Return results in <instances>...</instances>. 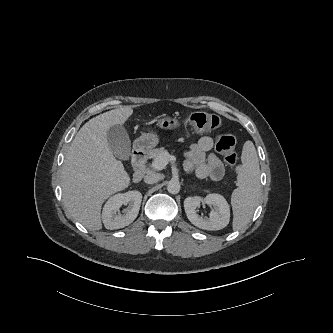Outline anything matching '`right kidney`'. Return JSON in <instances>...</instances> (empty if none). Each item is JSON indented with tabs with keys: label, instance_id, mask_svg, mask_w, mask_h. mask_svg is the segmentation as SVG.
<instances>
[{
	"label": "right kidney",
	"instance_id": "ca27d5eb",
	"mask_svg": "<svg viewBox=\"0 0 333 333\" xmlns=\"http://www.w3.org/2000/svg\"><path fill=\"white\" fill-rule=\"evenodd\" d=\"M142 201V194L139 191H128L119 193L106 202L102 212V219L106 229H120L131 224L137 217ZM123 214L118 211L122 205H127Z\"/></svg>",
	"mask_w": 333,
	"mask_h": 333
}]
</instances>
